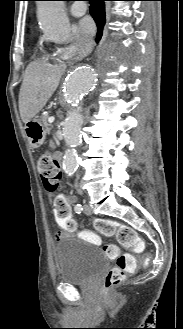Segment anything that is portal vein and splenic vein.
<instances>
[{"instance_id": "1", "label": "portal vein and splenic vein", "mask_w": 183, "mask_h": 329, "mask_svg": "<svg viewBox=\"0 0 183 329\" xmlns=\"http://www.w3.org/2000/svg\"><path fill=\"white\" fill-rule=\"evenodd\" d=\"M54 119H55L54 117H49V118H48V122H49V123H52V122L54 121Z\"/></svg>"}]
</instances>
